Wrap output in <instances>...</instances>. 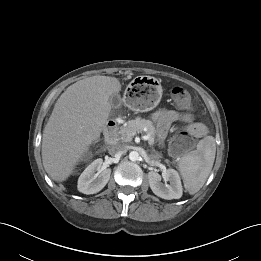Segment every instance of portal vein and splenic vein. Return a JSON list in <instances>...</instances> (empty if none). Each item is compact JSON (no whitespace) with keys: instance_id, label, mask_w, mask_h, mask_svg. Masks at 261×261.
Here are the masks:
<instances>
[{"instance_id":"1","label":"portal vein and splenic vein","mask_w":261,"mask_h":261,"mask_svg":"<svg viewBox=\"0 0 261 261\" xmlns=\"http://www.w3.org/2000/svg\"><path fill=\"white\" fill-rule=\"evenodd\" d=\"M129 136H134L135 135V133H130V134H128ZM144 140H149V136H147V135H144L143 137H142Z\"/></svg>"}]
</instances>
